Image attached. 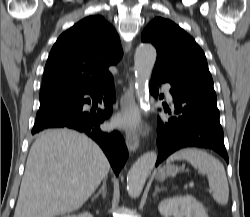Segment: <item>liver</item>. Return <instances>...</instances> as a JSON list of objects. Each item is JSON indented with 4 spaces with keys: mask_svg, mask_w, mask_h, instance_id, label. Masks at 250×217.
I'll use <instances>...</instances> for the list:
<instances>
[{
    "mask_svg": "<svg viewBox=\"0 0 250 217\" xmlns=\"http://www.w3.org/2000/svg\"><path fill=\"white\" fill-rule=\"evenodd\" d=\"M109 169L100 147L85 135L41 132L27 158L14 217H55L79 209Z\"/></svg>",
    "mask_w": 250,
    "mask_h": 217,
    "instance_id": "obj_1",
    "label": "liver"
}]
</instances>
